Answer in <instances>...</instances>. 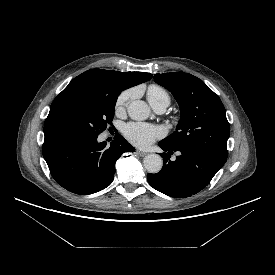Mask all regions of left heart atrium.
<instances>
[{"label":"left heart atrium","mask_w":275,"mask_h":275,"mask_svg":"<svg viewBox=\"0 0 275 275\" xmlns=\"http://www.w3.org/2000/svg\"><path fill=\"white\" fill-rule=\"evenodd\" d=\"M163 134L164 132L160 127L142 122H132L124 128L125 137L132 144L141 148L149 146Z\"/></svg>","instance_id":"left-heart-atrium-1"}]
</instances>
